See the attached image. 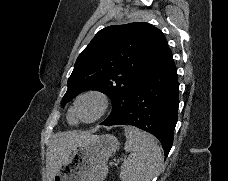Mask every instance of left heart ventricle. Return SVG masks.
Instances as JSON below:
<instances>
[{"mask_svg": "<svg viewBox=\"0 0 228 181\" xmlns=\"http://www.w3.org/2000/svg\"><path fill=\"white\" fill-rule=\"evenodd\" d=\"M95 105L91 100H83L79 105V112L84 117H91L94 113Z\"/></svg>", "mask_w": 228, "mask_h": 181, "instance_id": "left-heart-ventricle-1", "label": "left heart ventricle"}]
</instances>
